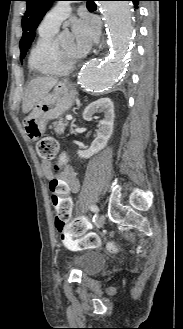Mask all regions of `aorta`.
I'll list each match as a JSON object with an SVG mask.
<instances>
[{
    "instance_id": "aorta-1",
    "label": "aorta",
    "mask_w": 183,
    "mask_h": 329,
    "mask_svg": "<svg viewBox=\"0 0 183 329\" xmlns=\"http://www.w3.org/2000/svg\"><path fill=\"white\" fill-rule=\"evenodd\" d=\"M100 5L112 51L105 60L92 61L82 69L79 82L87 91H106L114 87L124 67L125 55L133 35L130 2L102 1Z\"/></svg>"
}]
</instances>
